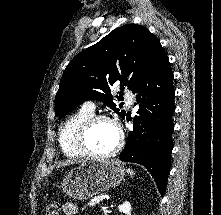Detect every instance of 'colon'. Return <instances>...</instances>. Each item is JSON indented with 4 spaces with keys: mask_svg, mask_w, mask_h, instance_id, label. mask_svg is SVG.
<instances>
[{
    "mask_svg": "<svg viewBox=\"0 0 221 215\" xmlns=\"http://www.w3.org/2000/svg\"><path fill=\"white\" fill-rule=\"evenodd\" d=\"M59 207L57 204L51 203L46 208V215H58Z\"/></svg>",
    "mask_w": 221,
    "mask_h": 215,
    "instance_id": "obj_1",
    "label": "colon"
}]
</instances>
